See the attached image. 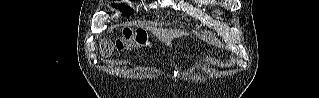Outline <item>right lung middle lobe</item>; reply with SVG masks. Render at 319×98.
Here are the masks:
<instances>
[{"label": "right lung middle lobe", "mask_w": 319, "mask_h": 98, "mask_svg": "<svg viewBox=\"0 0 319 98\" xmlns=\"http://www.w3.org/2000/svg\"><path fill=\"white\" fill-rule=\"evenodd\" d=\"M132 13H133V10H132L131 8H127V9H126V12L123 13V16H125V15H130V14H132Z\"/></svg>", "instance_id": "obj_1"}]
</instances>
